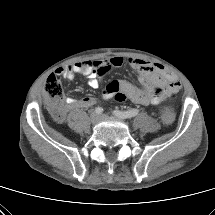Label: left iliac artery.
Here are the masks:
<instances>
[{
    "mask_svg": "<svg viewBox=\"0 0 215 215\" xmlns=\"http://www.w3.org/2000/svg\"><path fill=\"white\" fill-rule=\"evenodd\" d=\"M138 113H139L138 109H131L128 111H119V110L113 111V114L120 119L132 118V117H135Z\"/></svg>",
    "mask_w": 215,
    "mask_h": 215,
    "instance_id": "obj_1",
    "label": "left iliac artery"
}]
</instances>
